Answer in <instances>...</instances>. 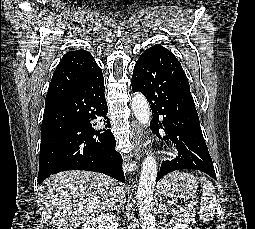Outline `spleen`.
<instances>
[{"mask_svg": "<svg viewBox=\"0 0 255 229\" xmlns=\"http://www.w3.org/2000/svg\"><path fill=\"white\" fill-rule=\"evenodd\" d=\"M202 183L201 204L199 218L206 221H211L215 214L216 193L211 181L206 177H200Z\"/></svg>", "mask_w": 255, "mask_h": 229, "instance_id": "spleen-1", "label": "spleen"}]
</instances>
